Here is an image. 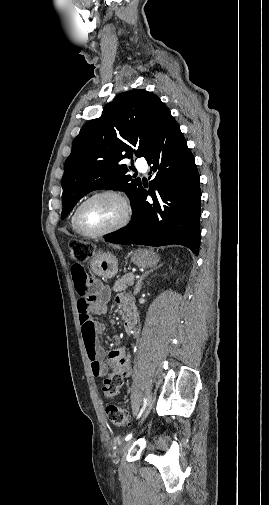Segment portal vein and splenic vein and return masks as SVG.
<instances>
[{"label":"portal vein and splenic vein","mask_w":269,"mask_h":505,"mask_svg":"<svg viewBox=\"0 0 269 505\" xmlns=\"http://www.w3.org/2000/svg\"><path fill=\"white\" fill-rule=\"evenodd\" d=\"M138 278H139V276H136V279H138Z\"/></svg>","instance_id":"obj_1"}]
</instances>
